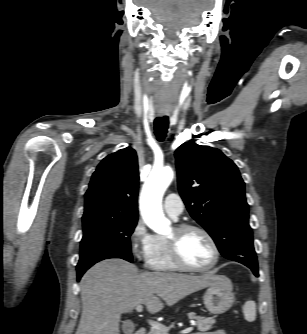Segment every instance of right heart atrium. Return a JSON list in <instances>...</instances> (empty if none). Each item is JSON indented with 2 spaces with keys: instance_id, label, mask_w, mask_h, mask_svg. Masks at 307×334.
<instances>
[{
  "instance_id": "right-heart-atrium-1",
  "label": "right heart atrium",
  "mask_w": 307,
  "mask_h": 334,
  "mask_svg": "<svg viewBox=\"0 0 307 334\" xmlns=\"http://www.w3.org/2000/svg\"><path fill=\"white\" fill-rule=\"evenodd\" d=\"M129 243L133 257L140 262L147 261L154 247L155 236L141 218L136 220L130 231Z\"/></svg>"
}]
</instances>
